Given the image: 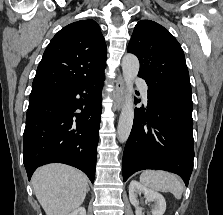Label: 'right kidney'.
Here are the masks:
<instances>
[{"label":"right kidney","instance_id":"1","mask_svg":"<svg viewBox=\"0 0 223 215\" xmlns=\"http://www.w3.org/2000/svg\"><path fill=\"white\" fill-rule=\"evenodd\" d=\"M68 215H86V209L85 207H77V209H74V211H71Z\"/></svg>","mask_w":223,"mask_h":215}]
</instances>
